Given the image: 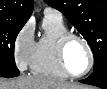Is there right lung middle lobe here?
I'll return each mask as SVG.
<instances>
[{
	"instance_id": "dd1d6c3e",
	"label": "right lung middle lobe",
	"mask_w": 107,
	"mask_h": 89,
	"mask_svg": "<svg viewBox=\"0 0 107 89\" xmlns=\"http://www.w3.org/2000/svg\"><path fill=\"white\" fill-rule=\"evenodd\" d=\"M24 25L25 22L0 19V77L11 78L19 75L14 60V46Z\"/></svg>"
}]
</instances>
